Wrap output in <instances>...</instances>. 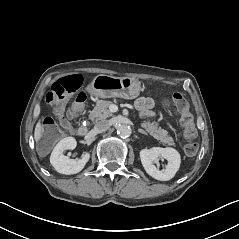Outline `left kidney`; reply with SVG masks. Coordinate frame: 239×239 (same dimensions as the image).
Listing matches in <instances>:
<instances>
[{"label":"left kidney","instance_id":"obj_1","mask_svg":"<svg viewBox=\"0 0 239 239\" xmlns=\"http://www.w3.org/2000/svg\"><path fill=\"white\" fill-rule=\"evenodd\" d=\"M158 158L167 161L166 167L161 171L154 165ZM140 159L146 173L160 181L172 179L180 165V156L178 152L172 148L154 146L150 149H142L140 151Z\"/></svg>","mask_w":239,"mask_h":239}]
</instances>
